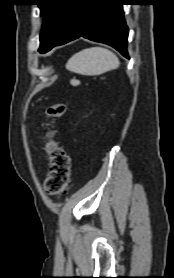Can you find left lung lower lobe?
Here are the masks:
<instances>
[{
  "mask_svg": "<svg viewBox=\"0 0 174 278\" xmlns=\"http://www.w3.org/2000/svg\"><path fill=\"white\" fill-rule=\"evenodd\" d=\"M124 4V0H77L64 33L54 46L82 36L108 44L129 58L128 27L122 9Z\"/></svg>",
  "mask_w": 174,
  "mask_h": 278,
  "instance_id": "1",
  "label": "left lung lower lobe"
}]
</instances>
